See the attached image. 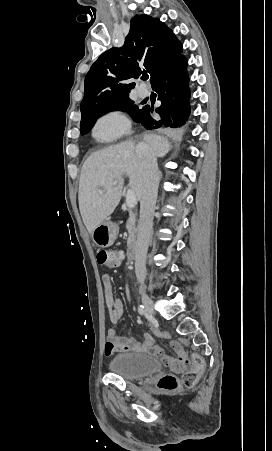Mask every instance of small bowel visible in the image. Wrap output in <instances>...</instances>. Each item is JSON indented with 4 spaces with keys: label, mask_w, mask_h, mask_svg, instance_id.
I'll return each instance as SVG.
<instances>
[{
    "label": "small bowel",
    "mask_w": 272,
    "mask_h": 451,
    "mask_svg": "<svg viewBox=\"0 0 272 451\" xmlns=\"http://www.w3.org/2000/svg\"><path fill=\"white\" fill-rule=\"evenodd\" d=\"M102 284L105 302L109 308L110 321L113 324H117L124 314L123 303L115 296L112 279L108 273L102 275ZM127 295L130 299L131 295L129 290L127 291ZM165 336H168V334H165ZM173 343L178 344L179 348H183L177 341H171L170 346ZM114 352L152 353L158 358L159 352H164V350L155 345L153 337L148 333H144L142 335V340L138 341L133 337L120 335L116 328H110L107 333L105 353L107 356H110Z\"/></svg>",
    "instance_id": "small-bowel-1"
}]
</instances>
